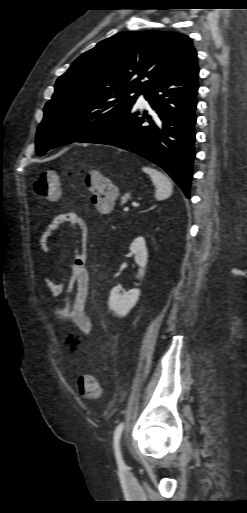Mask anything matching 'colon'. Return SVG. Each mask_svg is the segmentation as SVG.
Returning a JSON list of instances; mask_svg holds the SVG:
<instances>
[{"instance_id":"obj_1","label":"colon","mask_w":247,"mask_h":513,"mask_svg":"<svg viewBox=\"0 0 247 513\" xmlns=\"http://www.w3.org/2000/svg\"><path fill=\"white\" fill-rule=\"evenodd\" d=\"M63 179L53 170L42 171L33 183V193L50 201L58 200L61 195ZM86 192L97 210L107 213L113 207L117 193L114 186L100 173L93 172L86 178ZM79 391L86 397L98 398L103 393V385L92 376H80L77 380Z\"/></svg>"}]
</instances>
